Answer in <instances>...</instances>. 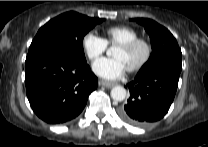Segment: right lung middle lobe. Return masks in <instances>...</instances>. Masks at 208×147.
<instances>
[{"label":"right lung middle lobe","mask_w":208,"mask_h":147,"mask_svg":"<svg viewBox=\"0 0 208 147\" xmlns=\"http://www.w3.org/2000/svg\"><path fill=\"white\" fill-rule=\"evenodd\" d=\"M103 20L73 11L63 13L39 29L29 47L27 58L47 52H63L78 60L86 61L83 38Z\"/></svg>","instance_id":"1"}]
</instances>
